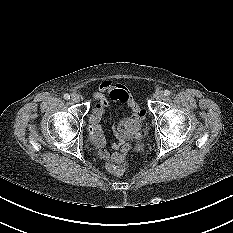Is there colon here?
<instances>
[{
  "mask_svg": "<svg viewBox=\"0 0 233 233\" xmlns=\"http://www.w3.org/2000/svg\"><path fill=\"white\" fill-rule=\"evenodd\" d=\"M107 169L115 175H121L125 172L126 168L123 165L111 161L107 163Z\"/></svg>",
  "mask_w": 233,
  "mask_h": 233,
  "instance_id": "colon-1",
  "label": "colon"
}]
</instances>
